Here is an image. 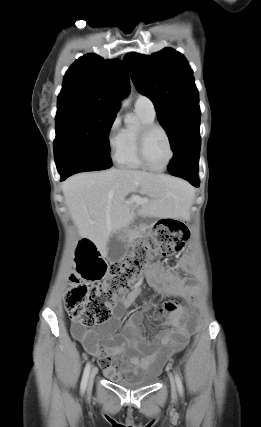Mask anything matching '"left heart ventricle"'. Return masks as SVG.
I'll use <instances>...</instances> for the list:
<instances>
[{"label": "left heart ventricle", "mask_w": 261, "mask_h": 427, "mask_svg": "<svg viewBox=\"0 0 261 427\" xmlns=\"http://www.w3.org/2000/svg\"><path fill=\"white\" fill-rule=\"evenodd\" d=\"M146 155L149 163L157 168L164 166L169 158V146L162 132H153L147 141Z\"/></svg>", "instance_id": "1"}]
</instances>
